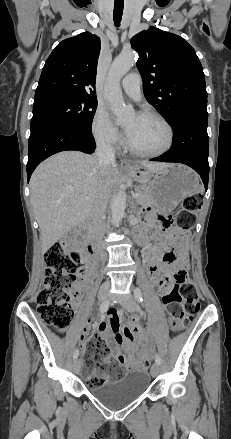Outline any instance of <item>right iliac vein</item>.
Returning <instances> with one entry per match:
<instances>
[{
    "instance_id": "right-iliac-vein-1",
    "label": "right iliac vein",
    "mask_w": 231,
    "mask_h": 439,
    "mask_svg": "<svg viewBox=\"0 0 231 439\" xmlns=\"http://www.w3.org/2000/svg\"><path fill=\"white\" fill-rule=\"evenodd\" d=\"M107 297V292L106 291H101L98 295V299L100 302H105V299ZM81 368V361L78 358H75L74 362H73V370L75 373H78L80 371Z\"/></svg>"
}]
</instances>
